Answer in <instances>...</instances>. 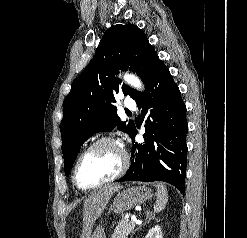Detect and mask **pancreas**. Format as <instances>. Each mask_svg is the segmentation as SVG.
I'll list each match as a JSON object with an SVG mask.
<instances>
[{"instance_id":"1","label":"pancreas","mask_w":247,"mask_h":238,"mask_svg":"<svg viewBox=\"0 0 247 238\" xmlns=\"http://www.w3.org/2000/svg\"><path fill=\"white\" fill-rule=\"evenodd\" d=\"M135 224L127 219H122L118 222L112 238H127L128 235L134 231Z\"/></svg>"}]
</instances>
